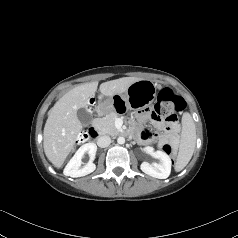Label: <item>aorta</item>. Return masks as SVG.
Listing matches in <instances>:
<instances>
[{
  "label": "aorta",
  "instance_id": "1",
  "mask_svg": "<svg viewBox=\"0 0 238 238\" xmlns=\"http://www.w3.org/2000/svg\"><path fill=\"white\" fill-rule=\"evenodd\" d=\"M118 144H124L125 143V138L124 137H118L117 139Z\"/></svg>",
  "mask_w": 238,
  "mask_h": 238
}]
</instances>
